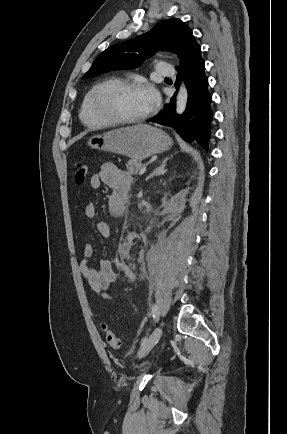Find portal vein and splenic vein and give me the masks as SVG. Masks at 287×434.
I'll list each match as a JSON object with an SVG mask.
<instances>
[{
	"mask_svg": "<svg viewBox=\"0 0 287 434\" xmlns=\"http://www.w3.org/2000/svg\"><path fill=\"white\" fill-rule=\"evenodd\" d=\"M146 169V166H143L139 171V175H143L146 172Z\"/></svg>",
	"mask_w": 287,
	"mask_h": 434,
	"instance_id": "1",
	"label": "portal vein and splenic vein"
}]
</instances>
